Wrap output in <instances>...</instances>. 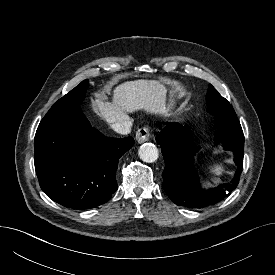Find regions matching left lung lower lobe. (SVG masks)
<instances>
[{
  "instance_id": "1",
  "label": "left lung lower lobe",
  "mask_w": 275,
  "mask_h": 275,
  "mask_svg": "<svg viewBox=\"0 0 275 275\" xmlns=\"http://www.w3.org/2000/svg\"><path fill=\"white\" fill-rule=\"evenodd\" d=\"M215 143L234 153L237 170L234 179L217 188L203 191L194 169L193 157L199 149L189 127L168 124L156 137L165 160L162 187L167 196L179 206L203 208L225 199L238 185L243 168L244 135L241 126H217Z\"/></svg>"
}]
</instances>
